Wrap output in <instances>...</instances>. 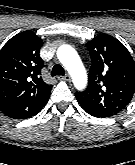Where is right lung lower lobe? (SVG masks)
Instances as JSON below:
<instances>
[{
    "instance_id": "98d812e1",
    "label": "right lung lower lobe",
    "mask_w": 135,
    "mask_h": 165,
    "mask_svg": "<svg viewBox=\"0 0 135 165\" xmlns=\"http://www.w3.org/2000/svg\"><path fill=\"white\" fill-rule=\"evenodd\" d=\"M42 108H43V106L40 107L39 109H37L36 111L32 112V113H27V114H22V115H16V116H12L11 118H14V119H26V118H30V117L36 115Z\"/></svg>"
}]
</instances>
